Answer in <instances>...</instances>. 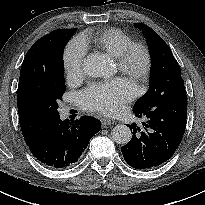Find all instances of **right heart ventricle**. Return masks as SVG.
Wrapping results in <instances>:
<instances>
[{
    "label": "right heart ventricle",
    "mask_w": 205,
    "mask_h": 205,
    "mask_svg": "<svg viewBox=\"0 0 205 205\" xmlns=\"http://www.w3.org/2000/svg\"><path fill=\"white\" fill-rule=\"evenodd\" d=\"M91 42L97 49L117 59L133 43V39L129 34L119 28H108L95 32Z\"/></svg>",
    "instance_id": "1"
}]
</instances>
